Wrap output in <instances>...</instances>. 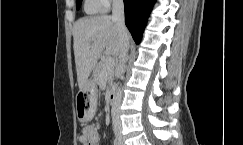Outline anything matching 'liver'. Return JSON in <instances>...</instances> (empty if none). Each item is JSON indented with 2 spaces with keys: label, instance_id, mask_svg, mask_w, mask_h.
Wrapping results in <instances>:
<instances>
[{
  "label": "liver",
  "instance_id": "liver-1",
  "mask_svg": "<svg viewBox=\"0 0 243 145\" xmlns=\"http://www.w3.org/2000/svg\"><path fill=\"white\" fill-rule=\"evenodd\" d=\"M126 36L130 39L128 31ZM74 55L79 88L87 83L102 53L117 57L121 50L119 30L112 16L79 19L73 26Z\"/></svg>",
  "mask_w": 243,
  "mask_h": 145
}]
</instances>
